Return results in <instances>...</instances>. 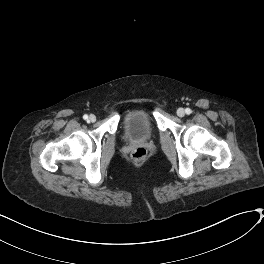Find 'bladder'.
<instances>
[{
	"instance_id": "31cf9c89",
	"label": "bladder",
	"mask_w": 264,
	"mask_h": 264,
	"mask_svg": "<svg viewBox=\"0 0 264 264\" xmlns=\"http://www.w3.org/2000/svg\"><path fill=\"white\" fill-rule=\"evenodd\" d=\"M125 133L131 141L149 140L154 128L148 113L142 108H132L125 114Z\"/></svg>"
}]
</instances>
